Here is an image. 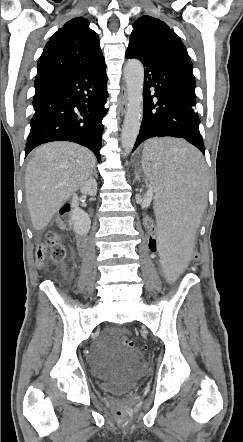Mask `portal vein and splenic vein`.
I'll list each match as a JSON object with an SVG mask.
<instances>
[{
  "instance_id": "obj_1",
  "label": "portal vein and splenic vein",
  "mask_w": 243,
  "mask_h": 442,
  "mask_svg": "<svg viewBox=\"0 0 243 442\" xmlns=\"http://www.w3.org/2000/svg\"><path fill=\"white\" fill-rule=\"evenodd\" d=\"M153 193H154V192H153L152 190H149V191L147 192V195H148V196H152Z\"/></svg>"
}]
</instances>
